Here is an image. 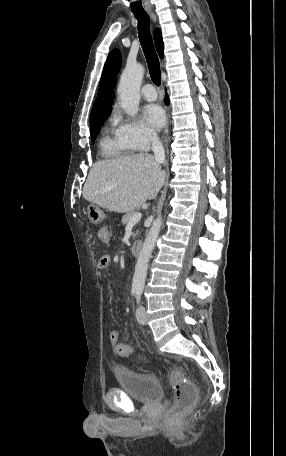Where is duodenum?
Returning <instances> with one entry per match:
<instances>
[{
    "label": "duodenum",
    "instance_id": "1",
    "mask_svg": "<svg viewBox=\"0 0 286 456\" xmlns=\"http://www.w3.org/2000/svg\"><path fill=\"white\" fill-rule=\"evenodd\" d=\"M141 249H142V242L140 240H136V241L132 242V244L130 246V250L133 255H135V256L139 255L141 252Z\"/></svg>",
    "mask_w": 286,
    "mask_h": 456
}]
</instances>
